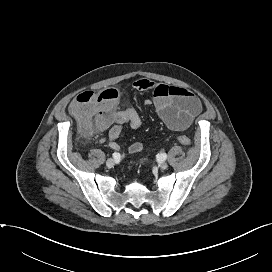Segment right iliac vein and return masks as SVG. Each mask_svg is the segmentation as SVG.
Listing matches in <instances>:
<instances>
[{
    "label": "right iliac vein",
    "mask_w": 272,
    "mask_h": 272,
    "mask_svg": "<svg viewBox=\"0 0 272 272\" xmlns=\"http://www.w3.org/2000/svg\"><path fill=\"white\" fill-rule=\"evenodd\" d=\"M114 164H115V161H114V159H112V158H110V159H108V160L106 161V166H107L108 168H112V167L114 166Z\"/></svg>",
    "instance_id": "63e3f726"
}]
</instances>
